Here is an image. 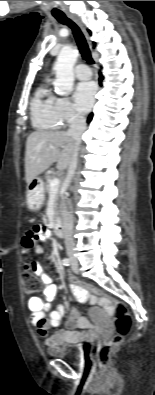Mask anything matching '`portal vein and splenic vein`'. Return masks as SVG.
Here are the masks:
<instances>
[{"label": "portal vein and splenic vein", "mask_w": 155, "mask_h": 395, "mask_svg": "<svg viewBox=\"0 0 155 395\" xmlns=\"http://www.w3.org/2000/svg\"><path fill=\"white\" fill-rule=\"evenodd\" d=\"M60 180L58 178H53L50 182V188L52 191H57L59 188Z\"/></svg>", "instance_id": "18ae733b"}]
</instances>
